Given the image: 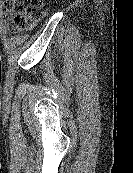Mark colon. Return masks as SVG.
Segmentation results:
<instances>
[{
    "instance_id": "colon-1",
    "label": "colon",
    "mask_w": 133,
    "mask_h": 173,
    "mask_svg": "<svg viewBox=\"0 0 133 173\" xmlns=\"http://www.w3.org/2000/svg\"><path fill=\"white\" fill-rule=\"evenodd\" d=\"M8 23L14 32L34 25L45 13L43 0H5Z\"/></svg>"
}]
</instances>
